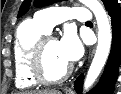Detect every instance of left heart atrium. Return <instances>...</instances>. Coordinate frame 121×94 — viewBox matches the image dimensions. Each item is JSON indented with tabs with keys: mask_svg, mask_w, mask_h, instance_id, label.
I'll return each mask as SVG.
<instances>
[{
	"mask_svg": "<svg viewBox=\"0 0 121 94\" xmlns=\"http://www.w3.org/2000/svg\"><path fill=\"white\" fill-rule=\"evenodd\" d=\"M58 45L60 52L69 63L75 62L82 56L83 46L78 37L71 32L65 33Z\"/></svg>",
	"mask_w": 121,
	"mask_h": 94,
	"instance_id": "left-heart-atrium-1",
	"label": "left heart atrium"
}]
</instances>
